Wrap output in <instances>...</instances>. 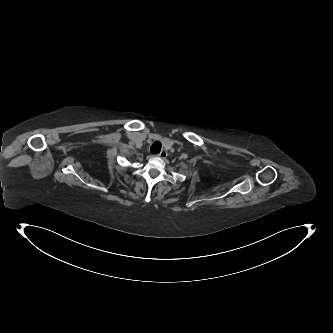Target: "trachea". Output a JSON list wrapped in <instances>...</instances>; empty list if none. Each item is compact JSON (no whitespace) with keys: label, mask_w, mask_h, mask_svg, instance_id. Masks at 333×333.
Returning <instances> with one entry per match:
<instances>
[{"label":"trachea","mask_w":333,"mask_h":333,"mask_svg":"<svg viewBox=\"0 0 333 333\" xmlns=\"http://www.w3.org/2000/svg\"><path fill=\"white\" fill-rule=\"evenodd\" d=\"M161 147V143L159 141H155L150 147V152L152 154H158L161 151Z\"/></svg>","instance_id":"trachea-1"}]
</instances>
